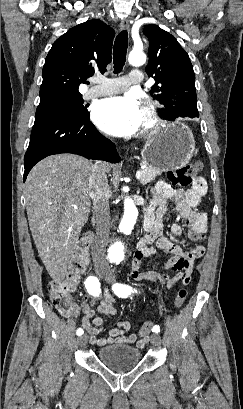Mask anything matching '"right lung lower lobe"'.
Here are the masks:
<instances>
[{
    "instance_id": "obj_1",
    "label": "right lung lower lobe",
    "mask_w": 243,
    "mask_h": 409,
    "mask_svg": "<svg viewBox=\"0 0 243 409\" xmlns=\"http://www.w3.org/2000/svg\"><path fill=\"white\" fill-rule=\"evenodd\" d=\"M59 153H73L88 159L120 161L115 144L103 137L90 122L89 115L76 117L39 112L24 156V178L41 159Z\"/></svg>"
}]
</instances>
